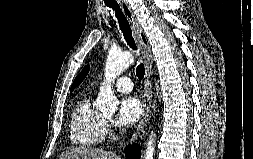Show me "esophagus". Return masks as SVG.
<instances>
[{"label": "esophagus", "instance_id": "34e87169", "mask_svg": "<svg viewBox=\"0 0 253 159\" xmlns=\"http://www.w3.org/2000/svg\"><path fill=\"white\" fill-rule=\"evenodd\" d=\"M123 13L128 19L134 38L136 43L141 51L142 57L145 63V77H144V99H143V114L139 121V124L134 131L130 144L135 142L137 139L142 138L144 135V130L146 127V123L151 111V102H152V84H151V73H152V55L150 49L146 46L141 36V27L137 18L134 16L128 2L126 0H118Z\"/></svg>", "mask_w": 253, "mask_h": 159}]
</instances>
